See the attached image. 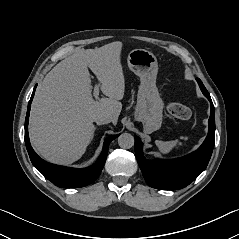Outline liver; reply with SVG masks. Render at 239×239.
<instances>
[{
	"label": "liver",
	"mask_w": 239,
	"mask_h": 239,
	"mask_svg": "<svg viewBox=\"0 0 239 239\" xmlns=\"http://www.w3.org/2000/svg\"><path fill=\"white\" fill-rule=\"evenodd\" d=\"M121 42L80 50L58 63L38 86L29 121L30 140L47 161L71 164L79 160L94 136V118L111 116L116 125L125 92ZM88 67L108 98H92Z\"/></svg>",
	"instance_id": "liver-1"
}]
</instances>
